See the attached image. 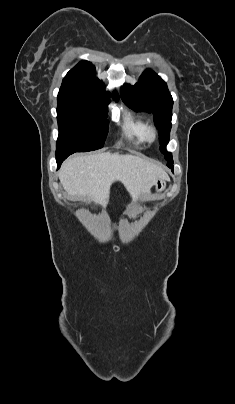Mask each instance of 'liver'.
Returning a JSON list of instances; mask_svg holds the SVG:
<instances>
[{
	"mask_svg": "<svg viewBox=\"0 0 235 404\" xmlns=\"http://www.w3.org/2000/svg\"><path fill=\"white\" fill-rule=\"evenodd\" d=\"M59 179L71 197L94 201L105 208L114 182H121L135 202L149 196L156 180L167 181L169 176L158 165L138 156L104 152L67 159Z\"/></svg>",
	"mask_w": 235,
	"mask_h": 404,
	"instance_id": "1",
	"label": "liver"
}]
</instances>
